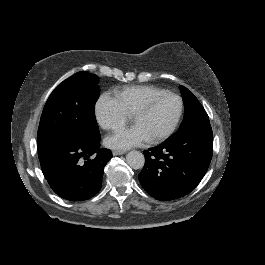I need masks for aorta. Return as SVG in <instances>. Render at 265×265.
Segmentation results:
<instances>
[{
  "instance_id": "aorta-1",
  "label": "aorta",
  "mask_w": 265,
  "mask_h": 265,
  "mask_svg": "<svg viewBox=\"0 0 265 265\" xmlns=\"http://www.w3.org/2000/svg\"><path fill=\"white\" fill-rule=\"evenodd\" d=\"M127 164L134 169H140L144 165V156L140 151L132 150L126 155Z\"/></svg>"
}]
</instances>
